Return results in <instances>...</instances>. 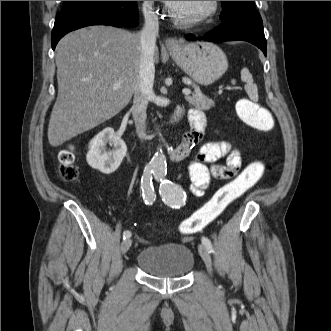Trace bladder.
Segmentation results:
<instances>
[{"label": "bladder", "instance_id": "obj_1", "mask_svg": "<svg viewBox=\"0 0 331 331\" xmlns=\"http://www.w3.org/2000/svg\"><path fill=\"white\" fill-rule=\"evenodd\" d=\"M137 266L152 278L179 279L194 268L192 251L182 243L149 245L138 254Z\"/></svg>", "mask_w": 331, "mask_h": 331}]
</instances>
